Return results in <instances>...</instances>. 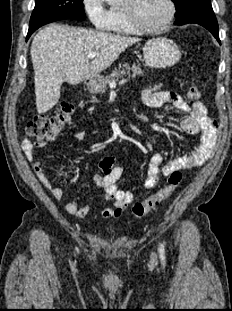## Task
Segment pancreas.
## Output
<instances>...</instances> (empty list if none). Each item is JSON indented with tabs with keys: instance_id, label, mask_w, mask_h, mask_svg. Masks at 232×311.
<instances>
[{
	"instance_id": "1",
	"label": "pancreas",
	"mask_w": 232,
	"mask_h": 311,
	"mask_svg": "<svg viewBox=\"0 0 232 311\" xmlns=\"http://www.w3.org/2000/svg\"><path fill=\"white\" fill-rule=\"evenodd\" d=\"M143 71L139 66L132 65L130 66L128 63H125L122 67L115 69L108 77L103 79L101 85V93H105L107 89V84L112 82H117L119 78H122L123 75H132L133 77L137 75H142Z\"/></svg>"
}]
</instances>
